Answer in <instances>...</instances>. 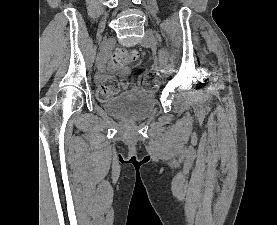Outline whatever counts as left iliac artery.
Wrapping results in <instances>:
<instances>
[{
	"label": "left iliac artery",
	"mask_w": 277,
	"mask_h": 225,
	"mask_svg": "<svg viewBox=\"0 0 277 225\" xmlns=\"http://www.w3.org/2000/svg\"><path fill=\"white\" fill-rule=\"evenodd\" d=\"M159 54H160V61H163L166 64L169 59L167 50L164 47H161V49L159 50Z\"/></svg>",
	"instance_id": "obj_1"
}]
</instances>
